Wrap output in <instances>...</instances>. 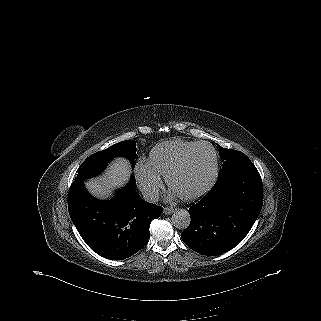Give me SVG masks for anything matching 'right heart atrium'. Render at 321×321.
Masks as SVG:
<instances>
[{
	"mask_svg": "<svg viewBox=\"0 0 321 321\" xmlns=\"http://www.w3.org/2000/svg\"><path fill=\"white\" fill-rule=\"evenodd\" d=\"M134 173L143 193L149 198H155L161 187V178L152 171L148 161H138L135 165Z\"/></svg>",
	"mask_w": 321,
	"mask_h": 321,
	"instance_id": "d8ad5b80",
	"label": "right heart atrium"
}]
</instances>
